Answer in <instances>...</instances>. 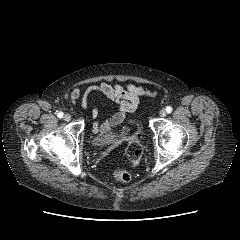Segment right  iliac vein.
I'll return each mask as SVG.
<instances>
[{"mask_svg": "<svg viewBox=\"0 0 240 240\" xmlns=\"http://www.w3.org/2000/svg\"><path fill=\"white\" fill-rule=\"evenodd\" d=\"M64 120L65 121H70L71 120V115L70 114H65L64 115Z\"/></svg>", "mask_w": 240, "mask_h": 240, "instance_id": "1", "label": "right iliac vein"}]
</instances>
